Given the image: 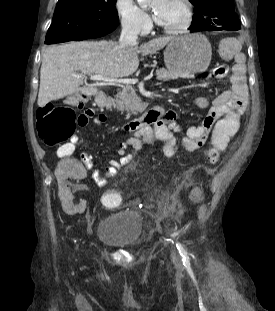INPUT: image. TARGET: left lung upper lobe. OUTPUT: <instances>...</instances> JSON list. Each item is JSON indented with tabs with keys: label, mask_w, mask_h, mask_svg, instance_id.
<instances>
[{
	"label": "left lung upper lobe",
	"mask_w": 275,
	"mask_h": 311,
	"mask_svg": "<svg viewBox=\"0 0 275 311\" xmlns=\"http://www.w3.org/2000/svg\"><path fill=\"white\" fill-rule=\"evenodd\" d=\"M196 8L192 29L237 31L241 23L235 13L233 0H189Z\"/></svg>",
	"instance_id": "5c2ea615"
}]
</instances>
